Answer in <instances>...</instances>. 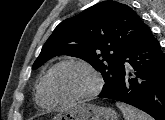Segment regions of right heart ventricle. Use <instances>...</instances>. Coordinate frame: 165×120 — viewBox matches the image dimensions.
Wrapping results in <instances>:
<instances>
[{
  "mask_svg": "<svg viewBox=\"0 0 165 120\" xmlns=\"http://www.w3.org/2000/svg\"><path fill=\"white\" fill-rule=\"evenodd\" d=\"M36 100L44 108H52L55 103L49 98L44 88V77L39 81L36 89Z\"/></svg>",
  "mask_w": 165,
  "mask_h": 120,
  "instance_id": "obj_1",
  "label": "right heart ventricle"
}]
</instances>
